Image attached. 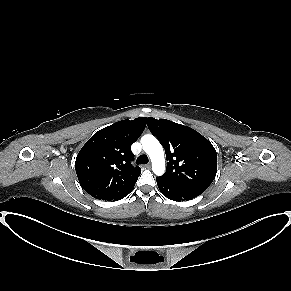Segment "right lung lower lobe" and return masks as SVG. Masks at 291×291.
I'll list each match as a JSON object with an SVG mask.
<instances>
[{"label":"right lung lower lobe","instance_id":"1","mask_svg":"<svg viewBox=\"0 0 291 291\" xmlns=\"http://www.w3.org/2000/svg\"><path fill=\"white\" fill-rule=\"evenodd\" d=\"M133 188H134V187H133ZM133 188H132V189H133ZM132 189H131V190H130V191H129L125 196H127V195L132 191ZM125 196H123V197H121V198H124ZM121 198H120V199H121Z\"/></svg>","mask_w":291,"mask_h":291}]
</instances>
